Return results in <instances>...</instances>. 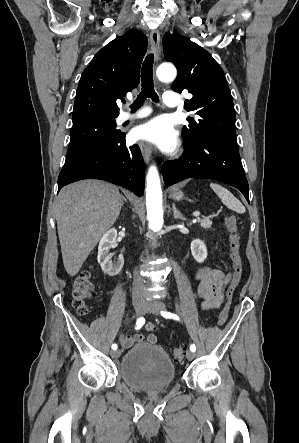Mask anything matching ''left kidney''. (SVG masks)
<instances>
[{"instance_id": "left-kidney-1", "label": "left kidney", "mask_w": 299, "mask_h": 443, "mask_svg": "<svg viewBox=\"0 0 299 443\" xmlns=\"http://www.w3.org/2000/svg\"><path fill=\"white\" fill-rule=\"evenodd\" d=\"M191 253L198 263H203L207 258V248L203 241L195 239L191 242Z\"/></svg>"}]
</instances>
